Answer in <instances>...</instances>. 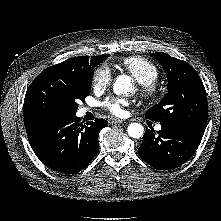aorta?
Masks as SVG:
<instances>
[{"instance_id": "1", "label": "aorta", "mask_w": 221, "mask_h": 221, "mask_svg": "<svg viewBox=\"0 0 221 221\" xmlns=\"http://www.w3.org/2000/svg\"><path fill=\"white\" fill-rule=\"evenodd\" d=\"M130 86H131V77L127 75H120L114 83V92L116 94L127 92ZM127 132L130 137L139 139L144 134V128L139 123H131L127 128Z\"/></svg>"}]
</instances>
